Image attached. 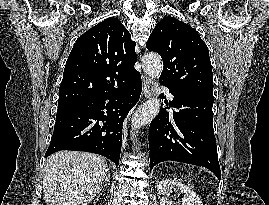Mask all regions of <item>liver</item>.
<instances>
[{
	"mask_svg": "<svg viewBox=\"0 0 269 205\" xmlns=\"http://www.w3.org/2000/svg\"><path fill=\"white\" fill-rule=\"evenodd\" d=\"M108 171L103 158L92 153L60 151L46 160L43 177L47 205H89L102 189Z\"/></svg>",
	"mask_w": 269,
	"mask_h": 205,
	"instance_id": "obj_1",
	"label": "liver"
}]
</instances>
